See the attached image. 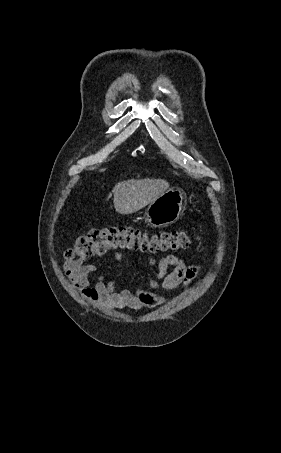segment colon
I'll use <instances>...</instances> for the list:
<instances>
[{"label": "colon", "mask_w": 281, "mask_h": 453, "mask_svg": "<svg viewBox=\"0 0 281 453\" xmlns=\"http://www.w3.org/2000/svg\"><path fill=\"white\" fill-rule=\"evenodd\" d=\"M193 228L184 230H148L138 226H94L78 236L68 261L87 262L122 249L149 250L150 255L185 252L197 235Z\"/></svg>", "instance_id": "colon-1"}]
</instances>
